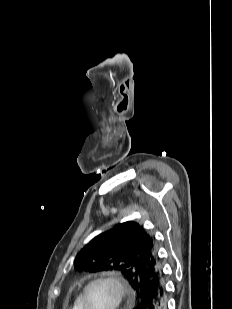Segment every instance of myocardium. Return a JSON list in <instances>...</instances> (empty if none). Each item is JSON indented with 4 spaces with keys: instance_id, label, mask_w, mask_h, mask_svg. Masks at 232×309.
<instances>
[{
    "instance_id": "f54148a6",
    "label": "myocardium",
    "mask_w": 232,
    "mask_h": 309,
    "mask_svg": "<svg viewBox=\"0 0 232 309\" xmlns=\"http://www.w3.org/2000/svg\"><path fill=\"white\" fill-rule=\"evenodd\" d=\"M96 283H107L114 287L116 291V303L112 307V309H121L123 306L127 296H128V290L126 285L124 284L123 280L113 274H101L93 279H91L84 287L82 293H81V307L82 309H88L87 306V294L90 289V287Z\"/></svg>"
}]
</instances>
